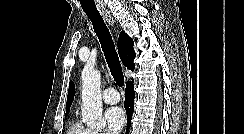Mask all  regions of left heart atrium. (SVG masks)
<instances>
[{"label": "left heart atrium", "mask_w": 244, "mask_h": 134, "mask_svg": "<svg viewBox=\"0 0 244 134\" xmlns=\"http://www.w3.org/2000/svg\"><path fill=\"white\" fill-rule=\"evenodd\" d=\"M105 120L111 134H118L125 125L126 116L120 107H111L105 112Z\"/></svg>", "instance_id": "1"}]
</instances>
